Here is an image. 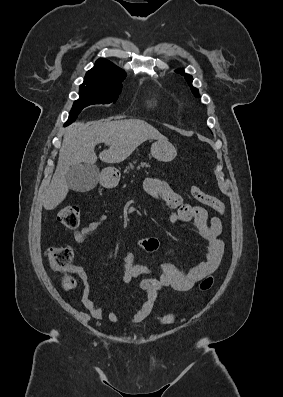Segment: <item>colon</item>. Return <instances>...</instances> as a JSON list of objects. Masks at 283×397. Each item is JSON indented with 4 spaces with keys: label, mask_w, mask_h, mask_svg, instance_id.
I'll list each match as a JSON object with an SVG mask.
<instances>
[{
    "label": "colon",
    "mask_w": 283,
    "mask_h": 397,
    "mask_svg": "<svg viewBox=\"0 0 283 397\" xmlns=\"http://www.w3.org/2000/svg\"><path fill=\"white\" fill-rule=\"evenodd\" d=\"M191 195L198 202L211 207L219 213H224L225 206L223 202L210 194L202 191L197 185H192L190 188ZM58 221L68 228H75L80 222V209L77 206L69 205L62 208L57 214ZM50 267L63 275V288L70 290L75 286L74 279L70 276V271L73 262V250L67 245L53 246L46 251ZM214 278L212 276L203 279L199 285L201 291L205 292L212 288ZM175 319L174 314H167L163 316L160 321L163 324L172 323Z\"/></svg>",
    "instance_id": "obj_1"
}]
</instances>
